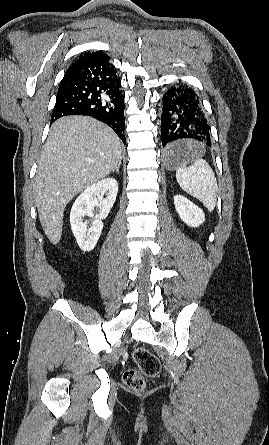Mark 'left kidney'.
<instances>
[{"mask_svg": "<svg viewBox=\"0 0 269 445\" xmlns=\"http://www.w3.org/2000/svg\"><path fill=\"white\" fill-rule=\"evenodd\" d=\"M174 205L181 220L188 226L198 227L205 221L204 212L184 196H174Z\"/></svg>", "mask_w": 269, "mask_h": 445, "instance_id": "left-kidney-1", "label": "left kidney"}]
</instances>
